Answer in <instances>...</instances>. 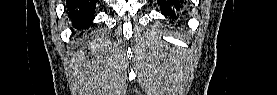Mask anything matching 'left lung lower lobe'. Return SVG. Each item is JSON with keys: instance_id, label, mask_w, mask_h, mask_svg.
I'll return each instance as SVG.
<instances>
[{"instance_id": "obj_1", "label": "left lung lower lobe", "mask_w": 277, "mask_h": 95, "mask_svg": "<svg viewBox=\"0 0 277 95\" xmlns=\"http://www.w3.org/2000/svg\"><path fill=\"white\" fill-rule=\"evenodd\" d=\"M157 2L160 5L162 14L165 17H169L172 23L185 4L184 0H157Z\"/></svg>"}]
</instances>
